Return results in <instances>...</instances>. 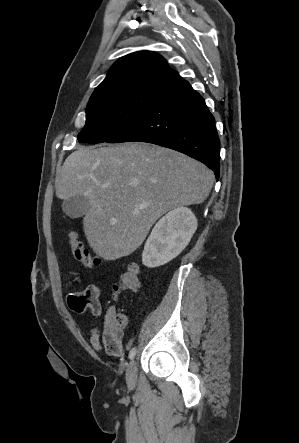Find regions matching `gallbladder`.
Listing matches in <instances>:
<instances>
[{"mask_svg": "<svg viewBox=\"0 0 299 443\" xmlns=\"http://www.w3.org/2000/svg\"><path fill=\"white\" fill-rule=\"evenodd\" d=\"M89 198L84 195H75L66 200L62 204L63 212L70 218L82 217L89 209Z\"/></svg>", "mask_w": 299, "mask_h": 443, "instance_id": "obj_1", "label": "gallbladder"}]
</instances>
